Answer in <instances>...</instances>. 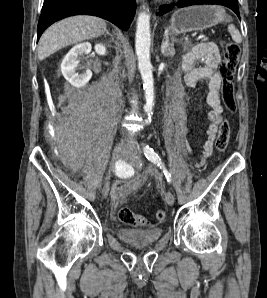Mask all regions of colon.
<instances>
[{"label": "colon", "instance_id": "1", "mask_svg": "<svg viewBox=\"0 0 267 298\" xmlns=\"http://www.w3.org/2000/svg\"><path fill=\"white\" fill-rule=\"evenodd\" d=\"M240 47L236 43H227L224 46V60L220 67V75L222 78V98L224 104L229 110L235 108V89L233 79L237 64L240 59ZM230 139V125L227 120H224L219 127L218 135L215 142V147L218 152L226 151ZM122 223L130 226H144L147 224V219L144 216L134 213L130 208L123 207L118 213ZM166 213L164 210H157L155 218L161 222L165 219Z\"/></svg>", "mask_w": 267, "mask_h": 298}]
</instances>
